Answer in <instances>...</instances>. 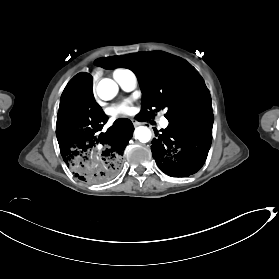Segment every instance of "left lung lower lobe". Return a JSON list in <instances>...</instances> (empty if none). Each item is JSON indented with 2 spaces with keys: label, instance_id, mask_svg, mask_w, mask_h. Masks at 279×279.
Returning a JSON list of instances; mask_svg holds the SVG:
<instances>
[{
  "label": "left lung lower lobe",
  "instance_id": "obj_1",
  "mask_svg": "<svg viewBox=\"0 0 279 279\" xmlns=\"http://www.w3.org/2000/svg\"><path fill=\"white\" fill-rule=\"evenodd\" d=\"M213 115L169 122L153 139L152 156L169 176L187 177L204 164L212 141Z\"/></svg>",
  "mask_w": 279,
  "mask_h": 279
}]
</instances>
